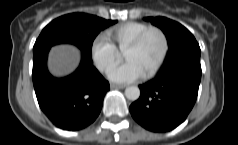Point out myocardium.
<instances>
[{
  "instance_id": "obj_1",
  "label": "myocardium",
  "mask_w": 238,
  "mask_h": 145,
  "mask_svg": "<svg viewBox=\"0 0 238 145\" xmlns=\"http://www.w3.org/2000/svg\"><path fill=\"white\" fill-rule=\"evenodd\" d=\"M152 32H157L160 35L162 39V50H161L159 58L154 63V65L146 73L143 74L144 77H150L154 75L158 71V69L161 67V65L163 64L167 56L168 49H169V41L165 31L160 27L150 26L149 28L144 30L142 33H140L124 50V51H127V50H134L138 48L145 41L148 35Z\"/></svg>"
}]
</instances>
